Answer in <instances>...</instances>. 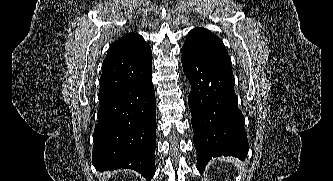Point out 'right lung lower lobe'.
Returning a JSON list of instances; mask_svg holds the SVG:
<instances>
[{"mask_svg":"<svg viewBox=\"0 0 333 181\" xmlns=\"http://www.w3.org/2000/svg\"><path fill=\"white\" fill-rule=\"evenodd\" d=\"M99 102L94 167L100 171L132 169L150 181L155 173L157 127L152 75Z\"/></svg>","mask_w":333,"mask_h":181,"instance_id":"right-lung-lower-lobe-1","label":"right lung lower lobe"}]
</instances>
